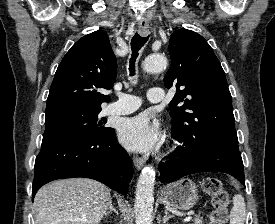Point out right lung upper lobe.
I'll return each mask as SVG.
<instances>
[{"instance_id": "cb5924a9", "label": "right lung upper lobe", "mask_w": 275, "mask_h": 224, "mask_svg": "<svg viewBox=\"0 0 275 224\" xmlns=\"http://www.w3.org/2000/svg\"><path fill=\"white\" fill-rule=\"evenodd\" d=\"M117 61L107 33L97 30L78 40L64 56L53 79L46 113L65 107L101 109L109 96L99 89H111Z\"/></svg>"}]
</instances>
